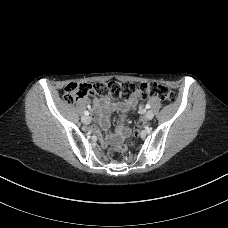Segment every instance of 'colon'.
<instances>
[{
	"label": "colon",
	"mask_w": 228,
	"mask_h": 228,
	"mask_svg": "<svg viewBox=\"0 0 228 228\" xmlns=\"http://www.w3.org/2000/svg\"><path fill=\"white\" fill-rule=\"evenodd\" d=\"M137 92H139L143 97H157L164 102H172L175 99L174 92L161 83H142L136 87L130 82L120 83L116 81L96 83L94 85L83 82L69 83L64 89L63 98L67 103H73L79 99H84L92 95L129 99ZM126 149V145L122 143L116 144L110 149L109 158L113 162H122Z\"/></svg>",
	"instance_id": "1"
}]
</instances>
